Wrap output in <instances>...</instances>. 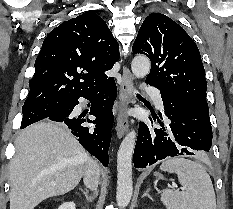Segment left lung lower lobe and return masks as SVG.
<instances>
[{"mask_svg": "<svg viewBox=\"0 0 233 209\" xmlns=\"http://www.w3.org/2000/svg\"><path fill=\"white\" fill-rule=\"evenodd\" d=\"M146 83L158 88L151 82ZM159 90L164 113L170 124L163 126L161 113L160 118L153 117L162 126L160 129L140 123L133 155L135 168H145L168 156L193 155L191 149L209 151L211 148L212 127L209 112L172 93Z\"/></svg>", "mask_w": 233, "mask_h": 209, "instance_id": "1", "label": "left lung lower lobe"}]
</instances>
